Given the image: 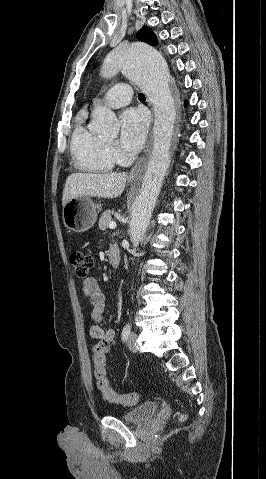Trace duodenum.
Instances as JSON below:
<instances>
[{"instance_id": "1", "label": "duodenum", "mask_w": 266, "mask_h": 479, "mask_svg": "<svg viewBox=\"0 0 266 479\" xmlns=\"http://www.w3.org/2000/svg\"><path fill=\"white\" fill-rule=\"evenodd\" d=\"M108 256L112 267L117 269L120 265L121 255L119 247L116 244H112L109 247Z\"/></svg>"}]
</instances>
